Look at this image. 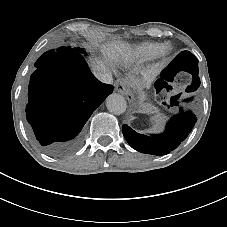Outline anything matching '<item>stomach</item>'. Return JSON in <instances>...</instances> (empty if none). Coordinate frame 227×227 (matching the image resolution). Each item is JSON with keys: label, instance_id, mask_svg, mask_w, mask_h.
<instances>
[{"label": "stomach", "instance_id": "obj_1", "mask_svg": "<svg viewBox=\"0 0 227 227\" xmlns=\"http://www.w3.org/2000/svg\"><path fill=\"white\" fill-rule=\"evenodd\" d=\"M121 92L127 93L128 90H122ZM138 99L141 112H151L154 109V106L148 101V95L144 91H139Z\"/></svg>", "mask_w": 227, "mask_h": 227}]
</instances>
